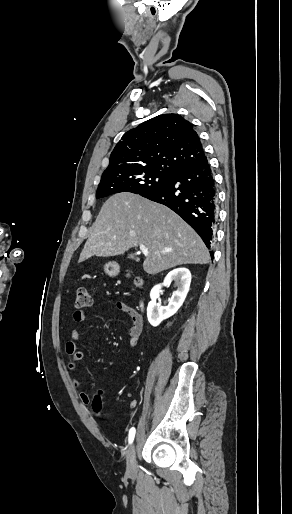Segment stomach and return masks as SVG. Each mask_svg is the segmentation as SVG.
<instances>
[{
	"label": "stomach",
	"mask_w": 292,
	"mask_h": 514,
	"mask_svg": "<svg viewBox=\"0 0 292 514\" xmlns=\"http://www.w3.org/2000/svg\"><path fill=\"white\" fill-rule=\"evenodd\" d=\"M104 272L108 274V276H117L120 272V266H118L116 262H108V264L104 266Z\"/></svg>",
	"instance_id": "obj_1"
}]
</instances>
